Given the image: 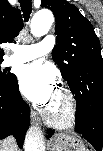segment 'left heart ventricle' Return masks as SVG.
Segmentation results:
<instances>
[{"label":"left heart ventricle","instance_id":"obj_1","mask_svg":"<svg viewBox=\"0 0 103 151\" xmlns=\"http://www.w3.org/2000/svg\"><path fill=\"white\" fill-rule=\"evenodd\" d=\"M49 110L54 114V115H61L64 112V101L61 95L57 92L54 100L52 103L49 105Z\"/></svg>","mask_w":103,"mask_h":151}]
</instances>
